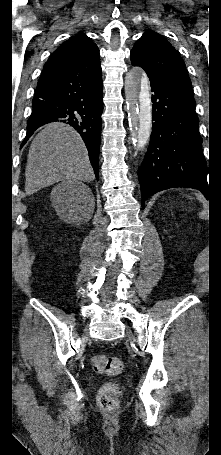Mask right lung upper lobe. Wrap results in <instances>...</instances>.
I'll return each instance as SVG.
<instances>
[{"mask_svg":"<svg viewBox=\"0 0 221 455\" xmlns=\"http://www.w3.org/2000/svg\"><path fill=\"white\" fill-rule=\"evenodd\" d=\"M97 55L99 50L91 38L82 33L76 35L53 52L44 65L40 79L86 57Z\"/></svg>","mask_w":221,"mask_h":455,"instance_id":"cb5924a9","label":"right lung upper lobe"}]
</instances>
